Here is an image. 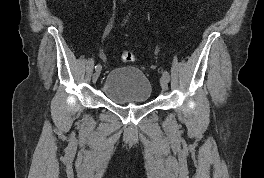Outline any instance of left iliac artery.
I'll return each mask as SVG.
<instances>
[{
	"label": "left iliac artery",
	"mask_w": 264,
	"mask_h": 178,
	"mask_svg": "<svg viewBox=\"0 0 264 178\" xmlns=\"http://www.w3.org/2000/svg\"><path fill=\"white\" fill-rule=\"evenodd\" d=\"M163 76H165L168 79V81L170 80V75L167 71L163 72Z\"/></svg>",
	"instance_id": "44dca946"
}]
</instances>
